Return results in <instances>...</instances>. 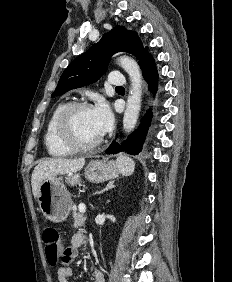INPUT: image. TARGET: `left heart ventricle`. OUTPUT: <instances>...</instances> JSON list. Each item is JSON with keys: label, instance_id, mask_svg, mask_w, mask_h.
<instances>
[{"label": "left heart ventricle", "instance_id": "b2bd125f", "mask_svg": "<svg viewBox=\"0 0 232 282\" xmlns=\"http://www.w3.org/2000/svg\"><path fill=\"white\" fill-rule=\"evenodd\" d=\"M71 128L75 138L82 143H91L101 137L93 118L92 108L77 111L73 115Z\"/></svg>", "mask_w": 232, "mask_h": 282}]
</instances>
